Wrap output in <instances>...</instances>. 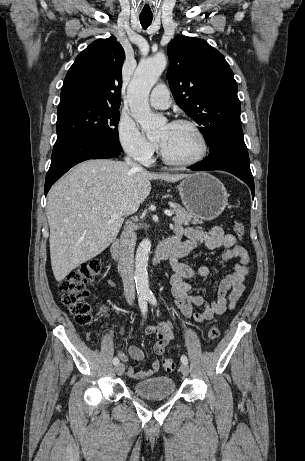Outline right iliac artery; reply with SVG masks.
Returning a JSON list of instances; mask_svg holds the SVG:
<instances>
[{"label": "right iliac artery", "instance_id": "1", "mask_svg": "<svg viewBox=\"0 0 305 461\" xmlns=\"http://www.w3.org/2000/svg\"><path fill=\"white\" fill-rule=\"evenodd\" d=\"M147 298L145 296H141L139 297V307L141 309V312L143 314V316L145 317L146 316V313H147ZM113 364L114 365H118L119 364V359L117 357H115L113 359Z\"/></svg>", "mask_w": 305, "mask_h": 461}]
</instances>
